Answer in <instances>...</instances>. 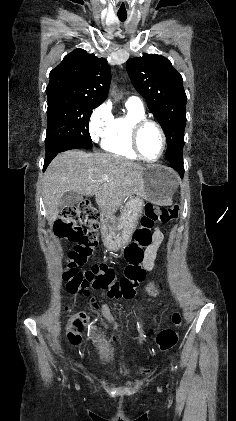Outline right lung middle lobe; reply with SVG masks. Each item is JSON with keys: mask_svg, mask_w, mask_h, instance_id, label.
I'll return each instance as SVG.
<instances>
[{"mask_svg": "<svg viewBox=\"0 0 236 421\" xmlns=\"http://www.w3.org/2000/svg\"><path fill=\"white\" fill-rule=\"evenodd\" d=\"M101 103L94 100L67 95L48 96L46 152L65 143L91 149L92 140L88 130L92 110Z\"/></svg>", "mask_w": 236, "mask_h": 421, "instance_id": "obj_1", "label": "right lung middle lobe"}]
</instances>
